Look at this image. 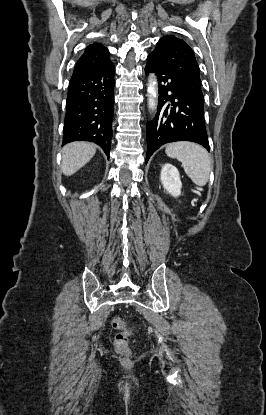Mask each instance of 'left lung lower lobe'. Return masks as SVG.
<instances>
[{
  "mask_svg": "<svg viewBox=\"0 0 266 415\" xmlns=\"http://www.w3.org/2000/svg\"><path fill=\"white\" fill-rule=\"evenodd\" d=\"M158 77L159 99L155 118L147 122V155L162 145L176 141L197 142L209 150L205 128L204 104L199 102L152 53L147 57L145 73Z\"/></svg>",
  "mask_w": 266,
  "mask_h": 415,
  "instance_id": "0a47b994",
  "label": "left lung lower lobe"
}]
</instances>
